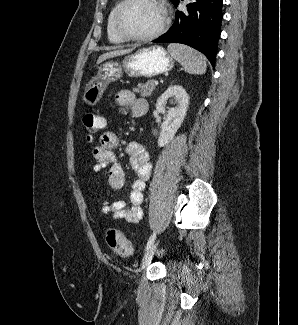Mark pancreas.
Masks as SVG:
<instances>
[{
	"label": "pancreas",
	"mask_w": 298,
	"mask_h": 325,
	"mask_svg": "<svg viewBox=\"0 0 298 325\" xmlns=\"http://www.w3.org/2000/svg\"><path fill=\"white\" fill-rule=\"evenodd\" d=\"M156 84L153 80H146V82H138L137 86H133V92H138L140 96H150L154 92Z\"/></svg>",
	"instance_id": "1"
}]
</instances>
